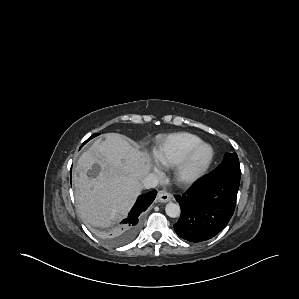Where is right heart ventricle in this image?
<instances>
[{"label": "right heart ventricle", "instance_id": "obj_1", "mask_svg": "<svg viewBox=\"0 0 299 299\" xmlns=\"http://www.w3.org/2000/svg\"><path fill=\"white\" fill-rule=\"evenodd\" d=\"M202 140L190 133H175L163 137L155 149L157 161L165 167H175L182 162L188 153Z\"/></svg>", "mask_w": 299, "mask_h": 299}]
</instances>
